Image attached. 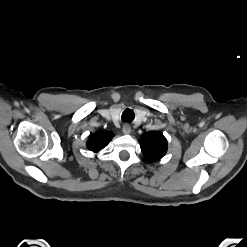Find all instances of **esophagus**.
I'll return each instance as SVG.
<instances>
[{"label": "esophagus", "instance_id": "obj_1", "mask_svg": "<svg viewBox=\"0 0 247 247\" xmlns=\"http://www.w3.org/2000/svg\"><path fill=\"white\" fill-rule=\"evenodd\" d=\"M122 131L124 134L128 135L131 133V126L129 124H124L123 125V128H122Z\"/></svg>", "mask_w": 247, "mask_h": 247}]
</instances>
